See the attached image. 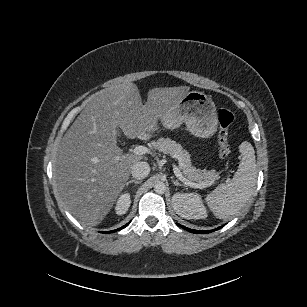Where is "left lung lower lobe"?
Segmentation results:
<instances>
[{"mask_svg":"<svg viewBox=\"0 0 307 307\" xmlns=\"http://www.w3.org/2000/svg\"><path fill=\"white\" fill-rule=\"evenodd\" d=\"M183 229L189 231V232H192V233H202V234H205V233H210L214 230H209V231H199V230H193V229H189L187 227H184V226H181ZM221 227H219L218 229H220Z\"/></svg>","mask_w":307,"mask_h":307,"instance_id":"0a47b994","label":"left lung lower lobe"}]
</instances>
